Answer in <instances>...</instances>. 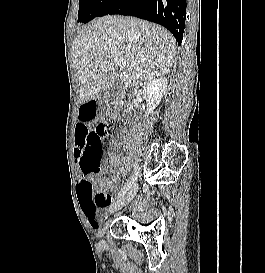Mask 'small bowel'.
<instances>
[{
    "mask_svg": "<svg viewBox=\"0 0 265 273\" xmlns=\"http://www.w3.org/2000/svg\"><path fill=\"white\" fill-rule=\"evenodd\" d=\"M79 107V122L80 123H93L96 118L97 110L95 103H80ZM74 129H92V124H74ZM76 164L78 170L82 173L80 168L81 159L75 152ZM111 162L117 166L120 163V159L117 155H113ZM82 178L78 180V188L81 185ZM110 186V183L102 180H96L94 184L95 193L91 195H84L79 192V200L82 212L87 219L89 225L96 229L99 226L98 212L100 209L112 205L113 197L105 192V189Z\"/></svg>",
    "mask_w": 265,
    "mask_h": 273,
    "instance_id": "1",
    "label": "small bowel"
}]
</instances>
